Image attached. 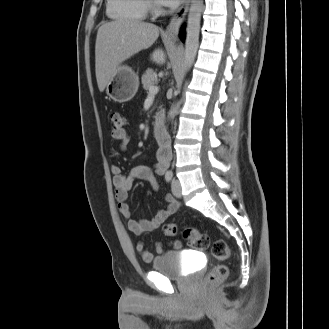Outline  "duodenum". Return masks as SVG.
I'll return each instance as SVG.
<instances>
[{
    "mask_svg": "<svg viewBox=\"0 0 329 329\" xmlns=\"http://www.w3.org/2000/svg\"><path fill=\"white\" fill-rule=\"evenodd\" d=\"M152 128L155 137L161 141L165 142L167 139V134L164 126V116L162 113H159L155 116L153 123H152Z\"/></svg>",
    "mask_w": 329,
    "mask_h": 329,
    "instance_id": "duodenum-1",
    "label": "duodenum"
}]
</instances>
